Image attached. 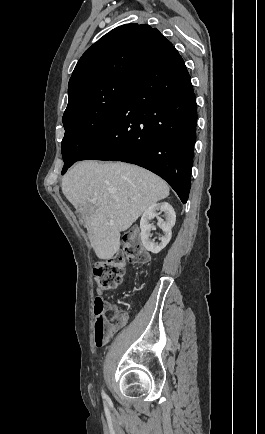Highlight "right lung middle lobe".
Segmentation results:
<instances>
[{"label":"right lung middle lobe","instance_id":"dd1d6c3e","mask_svg":"<svg viewBox=\"0 0 265 434\" xmlns=\"http://www.w3.org/2000/svg\"><path fill=\"white\" fill-rule=\"evenodd\" d=\"M134 78L131 75H111L68 90V106L62 118L65 128L63 174L110 125Z\"/></svg>","mask_w":265,"mask_h":434}]
</instances>
